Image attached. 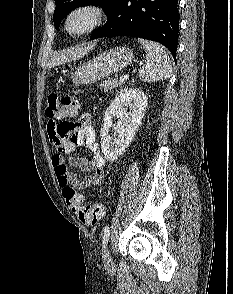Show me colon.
<instances>
[{
    "label": "colon",
    "mask_w": 233,
    "mask_h": 294,
    "mask_svg": "<svg viewBox=\"0 0 233 294\" xmlns=\"http://www.w3.org/2000/svg\"><path fill=\"white\" fill-rule=\"evenodd\" d=\"M80 110V102L73 94L59 96L50 94L46 114L49 118L61 117L66 120L75 117ZM63 196L69 208L77 215L79 220L88 226H95L104 216L105 209L102 204H86L82 194L71 187L63 189Z\"/></svg>",
    "instance_id": "5ec220e1"
}]
</instances>
